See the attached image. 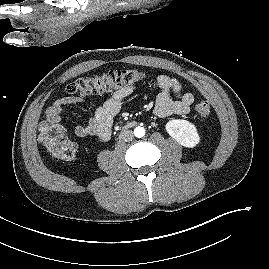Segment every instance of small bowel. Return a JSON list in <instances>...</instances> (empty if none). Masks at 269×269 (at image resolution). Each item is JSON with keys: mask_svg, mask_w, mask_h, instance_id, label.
<instances>
[{"mask_svg": "<svg viewBox=\"0 0 269 269\" xmlns=\"http://www.w3.org/2000/svg\"><path fill=\"white\" fill-rule=\"evenodd\" d=\"M160 93L156 99L153 113L160 118L171 115H185L194 103V95L182 92L180 81L174 77L161 74L156 78ZM134 86L128 85L118 88L106 100L102 101L86 124L76 125L73 129L78 137L97 136L102 141L110 138L113 118L121 111L124 101L133 93ZM175 96L177 98H175ZM78 97L64 96L50 105L46 117L56 123H61L63 111L72 105L79 104Z\"/></svg>", "mask_w": 269, "mask_h": 269, "instance_id": "obj_1", "label": "small bowel"}]
</instances>
